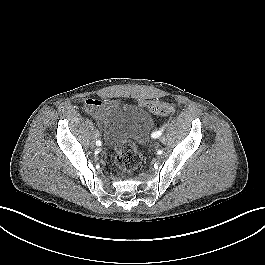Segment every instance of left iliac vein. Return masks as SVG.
I'll list each match as a JSON object with an SVG mask.
<instances>
[{"label": "left iliac vein", "mask_w": 265, "mask_h": 265, "mask_svg": "<svg viewBox=\"0 0 265 265\" xmlns=\"http://www.w3.org/2000/svg\"><path fill=\"white\" fill-rule=\"evenodd\" d=\"M160 140H161V142H165V137L164 136H162V137H160Z\"/></svg>", "instance_id": "4c4485c4"}]
</instances>
